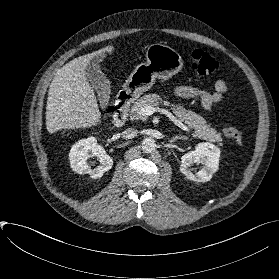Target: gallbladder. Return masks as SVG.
I'll return each instance as SVG.
<instances>
[{
  "label": "gallbladder",
  "instance_id": "obj_1",
  "mask_svg": "<svg viewBox=\"0 0 279 279\" xmlns=\"http://www.w3.org/2000/svg\"><path fill=\"white\" fill-rule=\"evenodd\" d=\"M103 58L104 57L101 54L94 56L89 61L85 72L90 84L97 91L101 106L105 107L108 104L110 98L111 87L110 82L100 65Z\"/></svg>",
  "mask_w": 279,
  "mask_h": 279
}]
</instances>
